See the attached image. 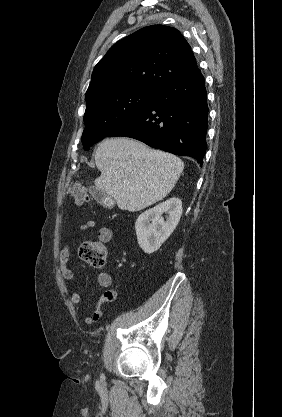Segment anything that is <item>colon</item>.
Wrapping results in <instances>:
<instances>
[{"mask_svg":"<svg viewBox=\"0 0 282 417\" xmlns=\"http://www.w3.org/2000/svg\"><path fill=\"white\" fill-rule=\"evenodd\" d=\"M70 195L78 204L87 202V192L81 183L70 187ZM78 256L92 267H103L107 263V248L102 241H88L80 246Z\"/></svg>","mask_w":282,"mask_h":417,"instance_id":"1","label":"colon"}]
</instances>
